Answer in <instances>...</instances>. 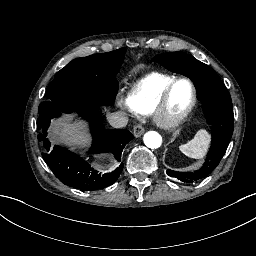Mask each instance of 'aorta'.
<instances>
[{
    "label": "aorta",
    "mask_w": 256,
    "mask_h": 256,
    "mask_svg": "<svg viewBox=\"0 0 256 256\" xmlns=\"http://www.w3.org/2000/svg\"><path fill=\"white\" fill-rule=\"evenodd\" d=\"M144 144L151 149H157L162 145V137L156 131H148L143 137Z\"/></svg>",
    "instance_id": "obj_1"
}]
</instances>
